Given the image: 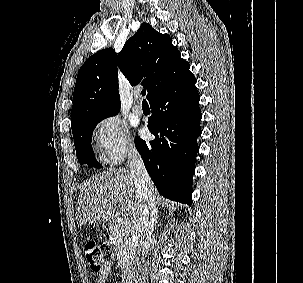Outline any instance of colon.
<instances>
[{"instance_id":"obj_1","label":"colon","mask_w":303,"mask_h":283,"mask_svg":"<svg viewBox=\"0 0 303 283\" xmlns=\"http://www.w3.org/2000/svg\"><path fill=\"white\" fill-rule=\"evenodd\" d=\"M84 256L91 271L101 272L110 256V249L103 244L88 242L84 246Z\"/></svg>"}]
</instances>
